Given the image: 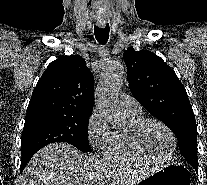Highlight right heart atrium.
<instances>
[{
	"mask_svg": "<svg viewBox=\"0 0 207 185\" xmlns=\"http://www.w3.org/2000/svg\"><path fill=\"white\" fill-rule=\"evenodd\" d=\"M108 117L99 109L92 111L87 123V137L92 146L102 143L109 135Z\"/></svg>",
	"mask_w": 207,
	"mask_h": 185,
	"instance_id": "right-heart-atrium-1",
	"label": "right heart atrium"
}]
</instances>
